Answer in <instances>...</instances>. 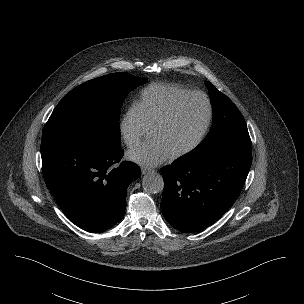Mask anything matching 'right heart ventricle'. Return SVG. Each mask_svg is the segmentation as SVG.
Instances as JSON below:
<instances>
[{
	"instance_id": "e07e8e85",
	"label": "right heart ventricle",
	"mask_w": 304,
	"mask_h": 304,
	"mask_svg": "<svg viewBox=\"0 0 304 304\" xmlns=\"http://www.w3.org/2000/svg\"><path fill=\"white\" fill-rule=\"evenodd\" d=\"M188 92L190 89L181 85L153 83L141 90L136 103L151 128L174 100Z\"/></svg>"
}]
</instances>
